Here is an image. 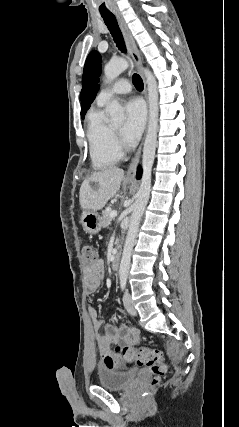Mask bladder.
I'll return each mask as SVG.
<instances>
[{"label":"bladder","mask_w":239,"mask_h":427,"mask_svg":"<svg viewBox=\"0 0 239 427\" xmlns=\"http://www.w3.org/2000/svg\"><path fill=\"white\" fill-rule=\"evenodd\" d=\"M139 376L136 369L114 370L99 368L98 383L100 386L112 390H125L131 387Z\"/></svg>","instance_id":"31cf9c89"}]
</instances>
